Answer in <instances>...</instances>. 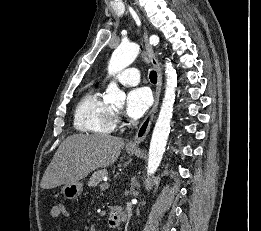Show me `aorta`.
I'll use <instances>...</instances> for the list:
<instances>
[{
    "instance_id": "obj_1",
    "label": "aorta",
    "mask_w": 261,
    "mask_h": 231,
    "mask_svg": "<svg viewBox=\"0 0 261 231\" xmlns=\"http://www.w3.org/2000/svg\"><path fill=\"white\" fill-rule=\"evenodd\" d=\"M138 53V44L130 42L120 44L111 56L108 65V73L113 75L125 69L136 59ZM165 74V95L150 142L147 167L148 175L154 174L158 169L170 133V123L175 102V90L177 87V74L169 61L165 63ZM125 97V93L119 89L118 85L115 82H111L103 95V100L106 103L121 105L124 102Z\"/></svg>"
}]
</instances>
